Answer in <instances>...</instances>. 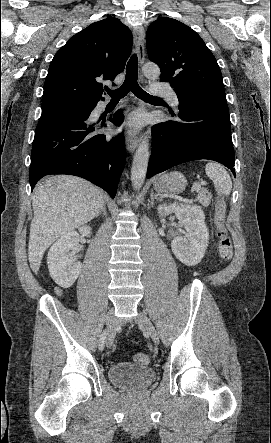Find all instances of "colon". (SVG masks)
<instances>
[{
	"instance_id": "obj_1",
	"label": "colon",
	"mask_w": 271,
	"mask_h": 443,
	"mask_svg": "<svg viewBox=\"0 0 271 443\" xmlns=\"http://www.w3.org/2000/svg\"><path fill=\"white\" fill-rule=\"evenodd\" d=\"M214 222L218 237L219 254L224 260H230L233 256V246L226 230V204L221 198L216 201ZM133 359L139 364H147L149 361L145 353H137Z\"/></svg>"
}]
</instances>
